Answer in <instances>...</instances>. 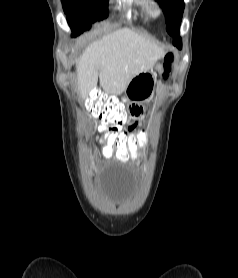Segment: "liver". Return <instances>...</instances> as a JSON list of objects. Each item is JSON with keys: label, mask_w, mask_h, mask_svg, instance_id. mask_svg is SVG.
<instances>
[{"label": "liver", "mask_w": 238, "mask_h": 278, "mask_svg": "<svg viewBox=\"0 0 238 278\" xmlns=\"http://www.w3.org/2000/svg\"><path fill=\"white\" fill-rule=\"evenodd\" d=\"M163 54L156 41L118 29L89 45L76 61L78 93L85 97L96 89L99 77L106 93L120 95L135 75L152 69Z\"/></svg>", "instance_id": "liver-1"}]
</instances>
